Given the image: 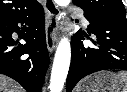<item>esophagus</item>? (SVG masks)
I'll return each mask as SVG.
<instances>
[{
	"mask_svg": "<svg viewBox=\"0 0 127 92\" xmlns=\"http://www.w3.org/2000/svg\"><path fill=\"white\" fill-rule=\"evenodd\" d=\"M44 9L47 13L46 43L49 52H52L57 46V34L60 29V11L53 0H44Z\"/></svg>",
	"mask_w": 127,
	"mask_h": 92,
	"instance_id": "1",
	"label": "esophagus"
}]
</instances>
